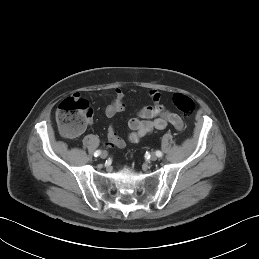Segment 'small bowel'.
<instances>
[{"mask_svg": "<svg viewBox=\"0 0 259 259\" xmlns=\"http://www.w3.org/2000/svg\"><path fill=\"white\" fill-rule=\"evenodd\" d=\"M112 101L106 107L105 113L107 117H113L125 109L124 94L119 88L111 91ZM149 97L153 104L143 107L138 112V117L131 118L128 121L130 129L127 140L130 143H137L143 137L155 130H163L168 124L172 125L176 130L182 131L184 124L180 116L170 112L161 102V94L157 90H151ZM92 122V115L88 123ZM107 139L110 145L117 148L125 147V140L120 137L113 126H110L107 133Z\"/></svg>", "mask_w": 259, "mask_h": 259, "instance_id": "obj_1", "label": "small bowel"}]
</instances>
